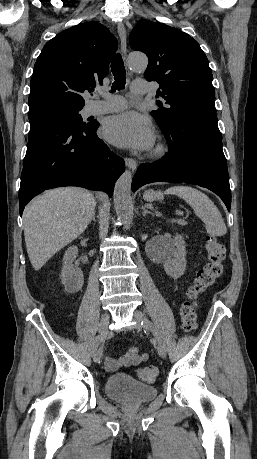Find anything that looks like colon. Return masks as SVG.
<instances>
[{"instance_id": "obj_1", "label": "colon", "mask_w": 257, "mask_h": 459, "mask_svg": "<svg viewBox=\"0 0 257 459\" xmlns=\"http://www.w3.org/2000/svg\"><path fill=\"white\" fill-rule=\"evenodd\" d=\"M205 248L207 262L186 290L185 300L180 306L181 325L186 332H191L197 327V314L192 301L213 286L224 272L225 249L223 244L216 237L208 236ZM137 376L145 382H151L157 376V369L142 367L137 370Z\"/></svg>"}]
</instances>
